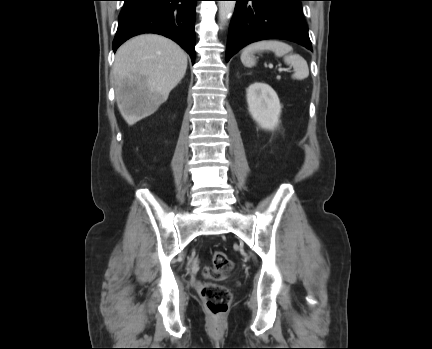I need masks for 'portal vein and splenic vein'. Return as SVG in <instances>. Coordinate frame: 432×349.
<instances>
[{"label":"portal vein and splenic vein","instance_id":"obj_1","mask_svg":"<svg viewBox=\"0 0 432 349\" xmlns=\"http://www.w3.org/2000/svg\"><path fill=\"white\" fill-rule=\"evenodd\" d=\"M269 67L271 68L272 65H269ZM278 70H279V72L285 71V69H284V68H281V67H280Z\"/></svg>","mask_w":432,"mask_h":349}]
</instances>
